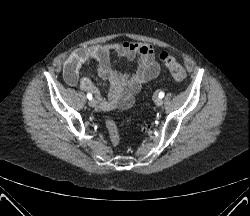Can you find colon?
Instances as JSON below:
<instances>
[{
	"label": "colon",
	"instance_id": "obj_1",
	"mask_svg": "<svg viewBox=\"0 0 250 216\" xmlns=\"http://www.w3.org/2000/svg\"><path fill=\"white\" fill-rule=\"evenodd\" d=\"M161 62L167 67L172 77L182 82L186 79V72L184 68L177 62V60L167 52H162L159 55ZM105 127L109 134V139L113 146H117L120 141L119 131L116 123L111 118L105 120ZM150 125H146L145 129L149 128Z\"/></svg>",
	"mask_w": 250,
	"mask_h": 216
}]
</instances>
